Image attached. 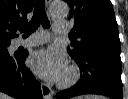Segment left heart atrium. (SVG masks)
I'll return each instance as SVG.
<instances>
[{
  "label": "left heart atrium",
  "mask_w": 128,
  "mask_h": 99,
  "mask_svg": "<svg viewBox=\"0 0 128 99\" xmlns=\"http://www.w3.org/2000/svg\"><path fill=\"white\" fill-rule=\"evenodd\" d=\"M29 66L42 78L57 81L61 80L66 72V58L56 49H41L30 56Z\"/></svg>",
  "instance_id": "left-heart-atrium-1"
}]
</instances>
